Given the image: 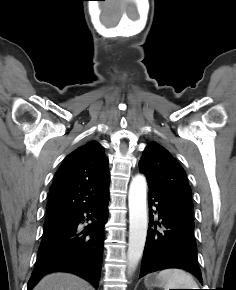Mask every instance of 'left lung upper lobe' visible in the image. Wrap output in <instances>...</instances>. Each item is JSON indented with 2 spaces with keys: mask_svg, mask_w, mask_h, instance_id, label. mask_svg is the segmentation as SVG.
I'll return each mask as SVG.
<instances>
[{
  "mask_svg": "<svg viewBox=\"0 0 236 290\" xmlns=\"http://www.w3.org/2000/svg\"><path fill=\"white\" fill-rule=\"evenodd\" d=\"M139 170L145 173L149 189L173 198L185 211L193 213L186 173L165 148L154 142L148 144L139 161Z\"/></svg>",
  "mask_w": 236,
  "mask_h": 290,
  "instance_id": "obj_1",
  "label": "left lung upper lobe"
}]
</instances>
